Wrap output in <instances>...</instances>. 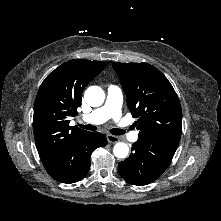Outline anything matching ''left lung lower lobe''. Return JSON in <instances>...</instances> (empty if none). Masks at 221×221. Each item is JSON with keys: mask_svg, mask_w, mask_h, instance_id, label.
Segmentation results:
<instances>
[{"mask_svg": "<svg viewBox=\"0 0 221 221\" xmlns=\"http://www.w3.org/2000/svg\"><path fill=\"white\" fill-rule=\"evenodd\" d=\"M131 155L118 164L121 177L132 185H147L155 181L169 166L176 150L138 138Z\"/></svg>", "mask_w": 221, "mask_h": 221, "instance_id": "0a47b994", "label": "left lung lower lobe"}]
</instances>
